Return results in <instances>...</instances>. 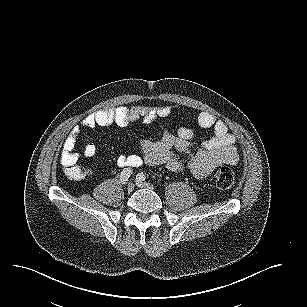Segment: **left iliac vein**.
I'll return each instance as SVG.
<instances>
[{"label": "left iliac vein", "instance_id": "left-iliac-vein-1", "mask_svg": "<svg viewBox=\"0 0 307 307\" xmlns=\"http://www.w3.org/2000/svg\"><path fill=\"white\" fill-rule=\"evenodd\" d=\"M137 186L140 187V188H152L153 187L152 184L145 183V182H142V181H138Z\"/></svg>", "mask_w": 307, "mask_h": 307}]
</instances>
